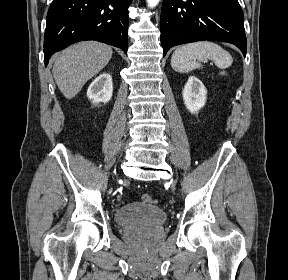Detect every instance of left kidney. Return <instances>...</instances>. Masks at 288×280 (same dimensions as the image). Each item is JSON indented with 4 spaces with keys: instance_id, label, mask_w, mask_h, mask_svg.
Here are the masks:
<instances>
[{
    "instance_id": "5707ae66",
    "label": "left kidney",
    "mask_w": 288,
    "mask_h": 280,
    "mask_svg": "<svg viewBox=\"0 0 288 280\" xmlns=\"http://www.w3.org/2000/svg\"><path fill=\"white\" fill-rule=\"evenodd\" d=\"M206 94L203 83L197 77H189L182 93L186 108L191 113H197L205 105Z\"/></svg>"
}]
</instances>
